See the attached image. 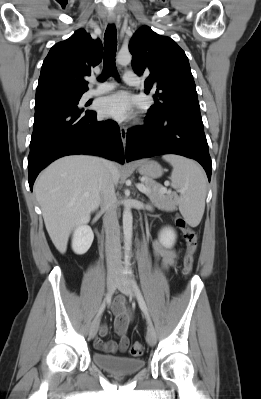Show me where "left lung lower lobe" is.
<instances>
[{"label": "left lung lower lobe", "mask_w": 261, "mask_h": 399, "mask_svg": "<svg viewBox=\"0 0 261 399\" xmlns=\"http://www.w3.org/2000/svg\"><path fill=\"white\" fill-rule=\"evenodd\" d=\"M145 122L127 132L126 161L178 154L198 161L210 181L212 162L199 108H180L165 115L149 112Z\"/></svg>", "instance_id": "left-lung-lower-lobe-1"}]
</instances>
